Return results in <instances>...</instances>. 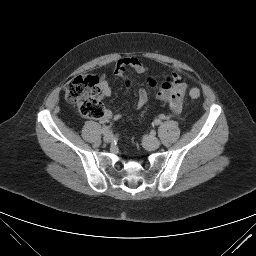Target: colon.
Segmentation results:
<instances>
[{
	"label": "colon",
	"mask_w": 256,
	"mask_h": 256,
	"mask_svg": "<svg viewBox=\"0 0 256 256\" xmlns=\"http://www.w3.org/2000/svg\"><path fill=\"white\" fill-rule=\"evenodd\" d=\"M64 92L66 100L76 104L83 116L92 119H101L105 116V107L99 99L101 87L96 76H76L65 84ZM189 96L197 100L200 97V90L191 88Z\"/></svg>",
	"instance_id": "1"
}]
</instances>
